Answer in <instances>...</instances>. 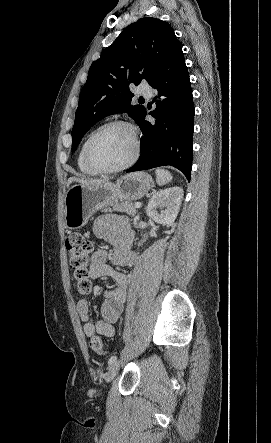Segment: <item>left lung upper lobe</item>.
I'll return each mask as SVG.
<instances>
[{
    "label": "left lung upper lobe",
    "mask_w": 271,
    "mask_h": 443,
    "mask_svg": "<svg viewBox=\"0 0 271 443\" xmlns=\"http://www.w3.org/2000/svg\"><path fill=\"white\" fill-rule=\"evenodd\" d=\"M180 45L171 26L157 18H141L124 29L89 69L75 114L72 151L86 131L108 115L127 112L139 125L145 108L131 105L129 84L148 81Z\"/></svg>",
    "instance_id": "1"
}]
</instances>
